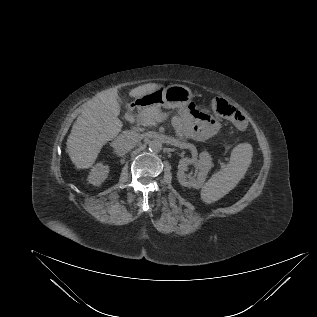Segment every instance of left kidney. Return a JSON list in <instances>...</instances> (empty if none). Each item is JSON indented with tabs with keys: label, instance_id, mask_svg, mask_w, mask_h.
I'll return each instance as SVG.
<instances>
[{
	"label": "left kidney",
	"instance_id": "5707ae66",
	"mask_svg": "<svg viewBox=\"0 0 317 317\" xmlns=\"http://www.w3.org/2000/svg\"><path fill=\"white\" fill-rule=\"evenodd\" d=\"M189 164H195L198 169V172L193 177L190 174H186ZM211 167L212 158L206 151L199 154L198 160L187 157L182 158L178 164L177 179L182 186L199 189L203 186Z\"/></svg>",
	"mask_w": 317,
	"mask_h": 317
}]
</instances>
